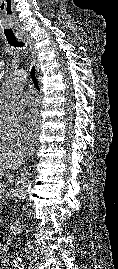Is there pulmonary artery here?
Segmentation results:
<instances>
[{
    "label": "pulmonary artery",
    "instance_id": "pulmonary-artery-1",
    "mask_svg": "<svg viewBox=\"0 0 118 269\" xmlns=\"http://www.w3.org/2000/svg\"><path fill=\"white\" fill-rule=\"evenodd\" d=\"M39 102V98L37 95L32 91L29 90L25 93L23 98V103L27 106L36 105Z\"/></svg>",
    "mask_w": 118,
    "mask_h": 269
}]
</instances>
